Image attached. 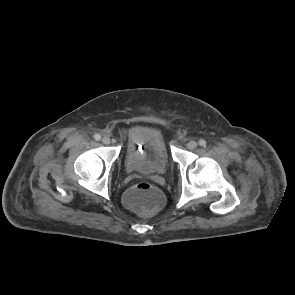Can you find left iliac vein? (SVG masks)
Instances as JSON below:
<instances>
[{"label":"left iliac vein","instance_id":"1","mask_svg":"<svg viewBox=\"0 0 295 295\" xmlns=\"http://www.w3.org/2000/svg\"><path fill=\"white\" fill-rule=\"evenodd\" d=\"M198 146V143L194 140H190L188 143H187V147L189 149H195L196 147Z\"/></svg>","mask_w":295,"mask_h":295}]
</instances>
